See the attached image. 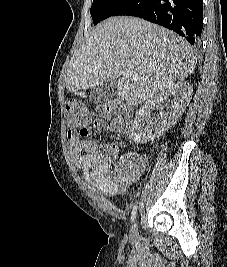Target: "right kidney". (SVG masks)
<instances>
[{
  "instance_id": "obj_1",
  "label": "right kidney",
  "mask_w": 227,
  "mask_h": 267,
  "mask_svg": "<svg viewBox=\"0 0 227 267\" xmlns=\"http://www.w3.org/2000/svg\"><path fill=\"white\" fill-rule=\"evenodd\" d=\"M193 89L186 81L170 84L158 95L147 100L136 112L130 129V136L134 143L144 144L153 141L168 131L188 106ZM169 98V107L163 111L162 104ZM159 108L157 118H151V111Z\"/></svg>"
}]
</instances>
